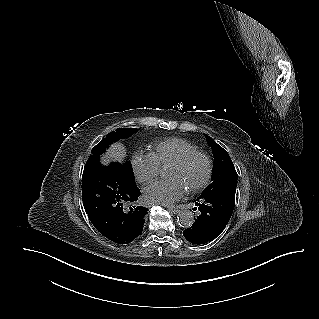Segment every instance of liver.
Returning <instances> with one entry per match:
<instances>
[{
    "label": "liver",
    "instance_id": "6515ba94",
    "mask_svg": "<svg viewBox=\"0 0 319 319\" xmlns=\"http://www.w3.org/2000/svg\"><path fill=\"white\" fill-rule=\"evenodd\" d=\"M126 157V149L121 143H115L108 150L107 155L102 158L104 164H107V159H112L121 162Z\"/></svg>",
    "mask_w": 319,
    "mask_h": 319
}]
</instances>
